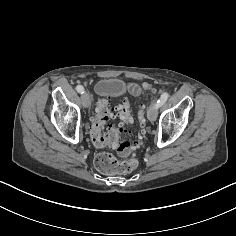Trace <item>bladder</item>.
I'll return each instance as SVG.
<instances>
[{
	"label": "bladder",
	"instance_id": "1",
	"mask_svg": "<svg viewBox=\"0 0 236 236\" xmlns=\"http://www.w3.org/2000/svg\"><path fill=\"white\" fill-rule=\"evenodd\" d=\"M95 89L99 95L113 97L124 92L125 83L118 78L103 77L97 82Z\"/></svg>",
	"mask_w": 236,
	"mask_h": 236
}]
</instances>
